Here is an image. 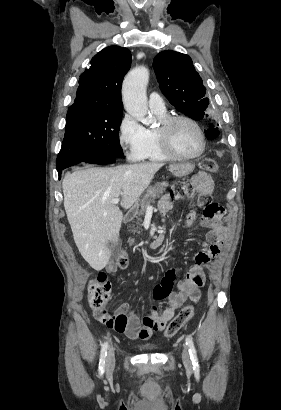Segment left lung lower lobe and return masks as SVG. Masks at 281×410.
<instances>
[{
  "label": "left lung lower lobe",
  "instance_id": "left-lung-lower-lobe-1",
  "mask_svg": "<svg viewBox=\"0 0 281 410\" xmlns=\"http://www.w3.org/2000/svg\"><path fill=\"white\" fill-rule=\"evenodd\" d=\"M214 129V126L210 124V126L208 127V129L205 131V134L207 136L208 139L212 140L215 137H211V132Z\"/></svg>",
  "mask_w": 281,
  "mask_h": 410
}]
</instances>
